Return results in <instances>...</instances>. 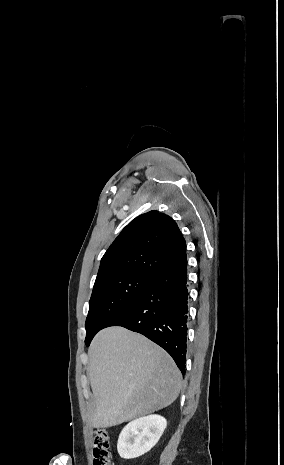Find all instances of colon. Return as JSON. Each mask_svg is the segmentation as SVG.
I'll return each mask as SVG.
<instances>
[{
  "label": "colon",
  "mask_w": 284,
  "mask_h": 465,
  "mask_svg": "<svg viewBox=\"0 0 284 465\" xmlns=\"http://www.w3.org/2000/svg\"><path fill=\"white\" fill-rule=\"evenodd\" d=\"M94 446L92 451V465H113L109 451L110 436L107 432H94Z\"/></svg>",
  "instance_id": "colon-1"
}]
</instances>
